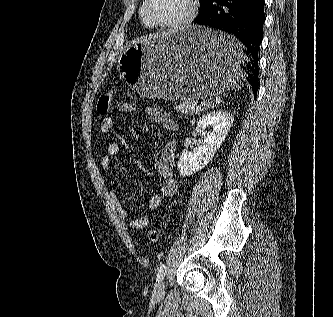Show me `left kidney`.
<instances>
[{"mask_svg":"<svg viewBox=\"0 0 333 317\" xmlns=\"http://www.w3.org/2000/svg\"><path fill=\"white\" fill-rule=\"evenodd\" d=\"M233 120L229 112L216 110L203 115L197 121L195 130L204 137V140L193 152L186 149L182 151L178 162V172L181 176L198 172L210 162L225 140Z\"/></svg>","mask_w":333,"mask_h":317,"instance_id":"obj_1","label":"left kidney"}]
</instances>
